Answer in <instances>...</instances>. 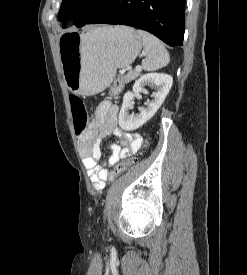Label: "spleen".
Listing matches in <instances>:
<instances>
[{
	"mask_svg": "<svg viewBox=\"0 0 247 275\" xmlns=\"http://www.w3.org/2000/svg\"><path fill=\"white\" fill-rule=\"evenodd\" d=\"M138 35L142 38L143 49L146 58L142 61L145 71H155L166 66L170 61V56L164 44L154 35L138 30Z\"/></svg>",
	"mask_w": 247,
	"mask_h": 275,
	"instance_id": "3e777b00",
	"label": "spleen"
}]
</instances>
